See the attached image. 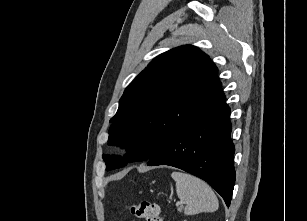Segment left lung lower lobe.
<instances>
[{
	"label": "left lung lower lobe",
	"instance_id": "obj_1",
	"mask_svg": "<svg viewBox=\"0 0 307 221\" xmlns=\"http://www.w3.org/2000/svg\"><path fill=\"white\" fill-rule=\"evenodd\" d=\"M229 116L223 94L169 139L147 165H170L191 173L205 180L229 206L235 183Z\"/></svg>",
	"mask_w": 307,
	"mask_h": 221
}]
</instances>
